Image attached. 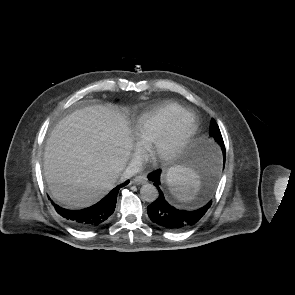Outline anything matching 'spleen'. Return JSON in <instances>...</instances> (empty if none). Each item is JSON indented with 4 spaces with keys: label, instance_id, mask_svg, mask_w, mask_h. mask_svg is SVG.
I'll list each match as a JSON object with an SVG mask.
<instances>
[{
    "label": "spleen",
    "instance_id": "1",
    "mask_svg": "<svg viewBox=\"0 0 295 295\" xmlns=\"http://www.w3.org/2000/svg\"><path fill=\"white\" fill-rule=\"evenodd\" d=\"M167 183L171 192L180 201H190L194 199L200 188V176L192 170L175 166L169 169L167 173Z\"/></svg>",
    "mask_w": 295,
    "mask_h": 295
}]
</instances>
